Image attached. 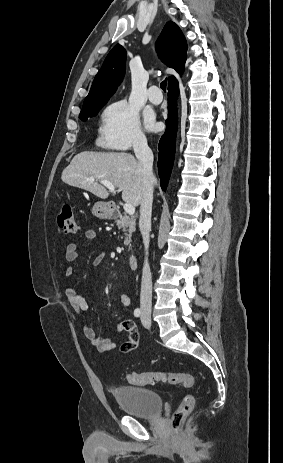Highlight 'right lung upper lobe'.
<instances>
[{
	"label": "right lung upper lobe",
	"instance_id": "right-lung-upper-lobe-1",
	"mask_svg": "<svg viewBox=\"0 0 283 463\" xmlns=\"http://www.w3.org/2000/svg\"><path fill=\"white\" fill-rule=\"evenodd\" d=\"M159 58L167 66L182 73L186 62L187 43L180 28L169 21L156 41ZM126 49L117 44L107 55L102 67L97 73L83 106H88L108 99L115 93L125 74ZM177 82L172 77L169 84Z\"/></svg>",
	"mask_w": 283,
	"mask_h": 463
}]
</instances>
